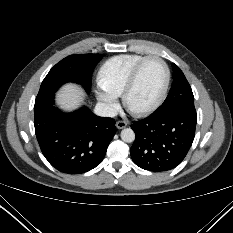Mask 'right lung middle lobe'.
<instances>
[{
  "label": "right lung middle lobe",
  "mask_w": 233,
  "mask_h": 233,
  "mask_svg": "<svg viewBox=\"0 0 233 233\" xmlns=\"http://www.w3.org/2000/svg\"><path fill=\"white\" fill-rule=\"evenodd\" d=\"M102 58L101 54H79L64 58L44 78L36 101L54 94L66 82L79 83L89 93L93 70Z\"/></svg>",
  "instance_id": "dd1d6c3e"
}]
</instances>
